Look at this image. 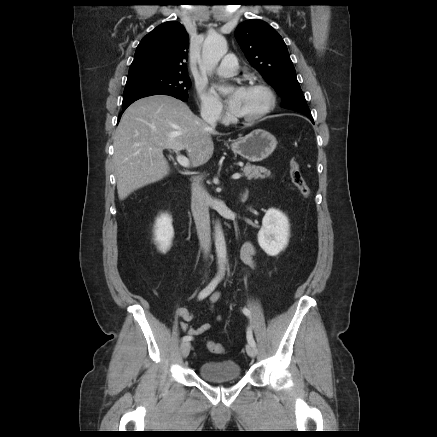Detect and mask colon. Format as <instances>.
<instances>
[{"instance_id":"5ec220e1","label":"colon","mask_w":437,"mask_h":437,"mask_svg":"<svg viewBox=\"0 0 437 437\" xmlns=\"http://www.w3.org/2000/svg\"><path fill=\"white\" fill-rule=\"evenodd\" d=\"M289 172L291 182L299 191L301 196L305 199L309 198L311 194L310 188L302 174L299 163L295 159H292L290 161ZM207 347L208 350L214 354H222L225 351L224 346L221 343L215 341H209L207 343Z\"/></svg>"}]
</instances>
